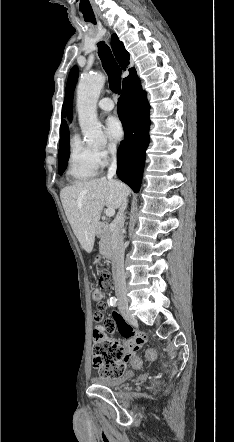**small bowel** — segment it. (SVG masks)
Wrapping results in <instances>:
<instances>
[{
	"mask_svg": "<svg viewBox=\"0 0 234 442\" xmlns=\"http://www.w3.org/2000/svg\"><path fill=\"white\" fill-rule=\"evenodd\" d=\"M105 309L106 305L102 304L99 310L94 314V320L97 322V333L102 334L106 331V334L113 336L115 331L119 329V332L124 337V340L121 343L123 349H135L139 351L146 344L145 335L143 333H134L132 328L128 325L127 319H121V317L115 312H113L112 315H107L103 321V311Z\"/></svg>",
	"mask_w": 234,
	"mask_h": 442,
	"instance_id": "1",
	"label": "small bowel"
}]
</instances>
